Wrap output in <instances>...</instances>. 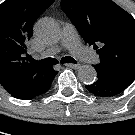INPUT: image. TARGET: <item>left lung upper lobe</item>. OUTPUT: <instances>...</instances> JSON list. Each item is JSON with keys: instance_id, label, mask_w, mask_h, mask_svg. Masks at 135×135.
Returning a JSON list of instances; mask_svg holds the SVG:
<instances>
[{"instance_id": "obj_1", "label": "left lung upper lobe", "mask_w": 135, "mask_h": 135, "mask_svg": "<svg viewBox=\"0 0 135 135\" xmlns=\"http://www.w3.org/2000/svg\"><path fill=\"white\" fill-rule=\"evenodd\" d=\"M61 8L100 55L96 71L132 84L135 79V19L112 0H62Z\"/></svg>"}]
</instances>
